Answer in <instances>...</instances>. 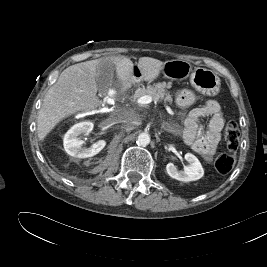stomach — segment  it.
I'll return each instance as SVG.
<instances>
[{
  "label": "stomach",
  "instance_id": "obj_1",
  "mask_svg": "<svg viewBox=\"0 0 267 267\" xmlns=\"http://www.w3.org/2000/svg\"><path fill=\"white\" fill-rule=\"evenodd\" d=\"M162 73L170 79H184L189 77L193 88L204 95L215 96L220 90V78L215 72L200 67L192 69L190 63L184 60L165 62ZM135 79L141 80L139 70L138 74L135 75Z\"/></svg>",
  "mask_w": 267,
  "mask_h": 267
}]
</instances>
